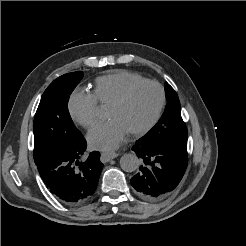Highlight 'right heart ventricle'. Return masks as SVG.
I'll return each mask as SVG.
<instances>
[{
  "mask_svg": "<svg viewBox=\"0 0 246 246\" xmlns=\"http://www.w3.org/2000/svg\"><path fill=\"white\" fill-rule=\"evenodd\" d=\"M143 79L133 72L114 71L95 80L92 94L98 104L109 107L128 86Z\"/></svg>",
  "mask_w": 246,
  "mask_h": 246,
  "instance_id": "1",
  "label": "right heart ventricle"
}]
</instances>
